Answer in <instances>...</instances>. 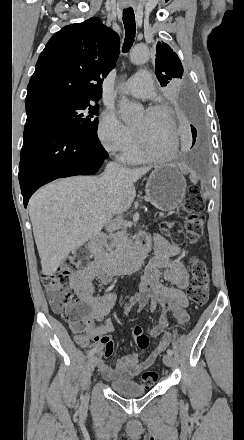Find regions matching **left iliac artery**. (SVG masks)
Segmentation results:
<instances>
[{
    "instance_id": "44dca946",
    "label": "left iliac artery",
    "mask_w": 244,
    "mask_h": 440,
    "mask_svg": "<svg viewBox=\"0 0 244 440\" xmlns=\"http://www.w3.org/2000/svg\"><path fill=\"white\" fill-rule=\"evenodd\" d=\"M167 354H169V355L172 356V355H173V351H172L171 349H168V350H167Z\"/></svg>"
}]
</instances>
